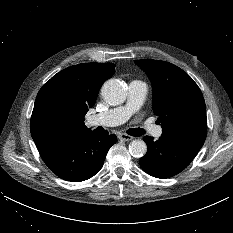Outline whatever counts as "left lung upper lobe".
Listing matches in <instances>:
<instances>
[{
  "instance_id": "1",
  "label": "left lung upper lobe",
  "mask_w": 233,
  "mask_h": 233,
  "mask_svg": "<svg viewBox=\"0 0 233 233\" xmlns=\"http://www.w3.org/2000/svg\"><path fill=\"white\" fill-rule=\"evenodd\" d=\"M153 88V111L165 136H181L205 141L207 117L201 90L182 69L165 61L136 60Z\"/></svg>"
}]
</instances>
